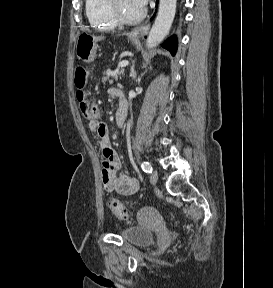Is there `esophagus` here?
I'll list each match as a JSON object with an SVG mask.
<instances>
[{"label": "esophagus", "instance_id": "34e87169", "mask_svg": "<svg viewBox=\"0 0 273 288\" xmlns=\"http://www.w3.org/2000/svg\"><path fill=\"white\" fill-rule=\"evenodd\" d=\"M148 28H149V25L146 24V25L142 26L141 28H139L138 32H141V33L146 32L148 30Z\"/></svg>", "mask_w": 273, "mask_h": 288}]
</instances>
